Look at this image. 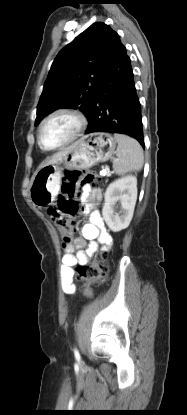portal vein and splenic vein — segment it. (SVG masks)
<instances>
[{"instance_id": "obj_1", "label": "portal vein and splenic vein", "mask_w": 187, "mask_h": 415, "mask_svg": "<svg viewBox=\"0 0 187 415\" xmlns=\"http://www.w3.org/2000/svg\"><path fill=\"white\" fill-rule=\"evenodd\" d=\"M108 173H109V171H108ZM107 174V172H105L104 174H102V175H106Z\"/></svg>"}]
</instances>
